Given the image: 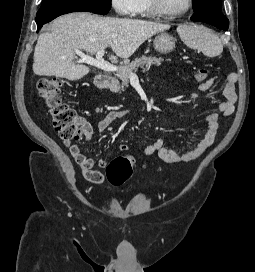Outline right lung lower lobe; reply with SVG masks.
I'll list each match as a JSON object with an SVG mask.
<instances>
[{"label": "right lung lower lobe", "instance_id": "right-lung-lower-lobe-1", "mask_svg": "<svg viewBox=\"0 0 255 272\" xmlns=\"http://www.w3.org/2000/svg\"><path fill=\"white\" fill-rule=\"evenodd\" d=\"M86 10L79 8H71V7H41L36 14V23L39 28H41L45 23H48L55 19L56 17L67 14L71 12H83ZM88 12V11H87Z\"/></svg>", "mask_w": 255, "mask_h": 272}]
</instances>
